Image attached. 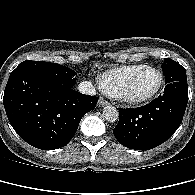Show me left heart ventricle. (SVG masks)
<instances>
[{
    "label": "left heart ventricle",
    "mask_w": 195,
    "mask_h": 195,
    "mask_svg": "<svg viewBox=\"0 0 195 195\" xmlns=\"http://www.w3.org/2000/svg\"><path fill=\"white\" fill-rule=\"evenodd\" d=\"M159 83L157 72L147 70L141 73L134 81L131 93L134 96H145L154 91Z\"/></svg>",
    "instance_id": "1"
}]
</instances>
